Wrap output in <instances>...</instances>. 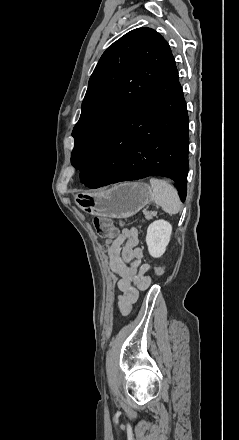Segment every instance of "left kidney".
Masks as SVG:
<instances>
[{"instance_id":"1","label":"left kidney","mask_w":239,"mask_h":440,"mask_svg":"<svg viewBox=\"0 0 239 440\" xmlns=\"http://www.w3.org/2000/svg\"><path fill=\"white\" fill-rule=\"evenodd\" d=\"M172 226L165 220H156L147 230L146 244L152 258H161L170 242Z\"/></svg>"}]
</instances>
